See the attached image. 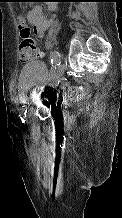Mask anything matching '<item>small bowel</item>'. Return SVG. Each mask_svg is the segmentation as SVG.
I'll use <instances>...</instances> for the list:
<instances>
[{"label":"small bowel","instance_id":"small-bowel-1","mask_svg":"<svg viewBox=\"0 0 122 218\" xmlns=\"http://www.w3.org/2000/svg\"><path fill=\"white\" fill-rule=\"evenodd\" d=\"M46 10L52 13L51 17H47L43 11V7L41 5H36L32 7L28 13L26 19L23 16L18 17L19 25L25 23L26 21L29 22L33 26V30L35 35L38 38H42L46 32V30L50 27L55 17V12L57 7L55 3L52 1H47L45 4ZM42 52H38V57H43Z\"/></svg>","mask_w":122,"mask_h":218}]
</instances>
